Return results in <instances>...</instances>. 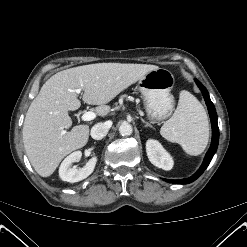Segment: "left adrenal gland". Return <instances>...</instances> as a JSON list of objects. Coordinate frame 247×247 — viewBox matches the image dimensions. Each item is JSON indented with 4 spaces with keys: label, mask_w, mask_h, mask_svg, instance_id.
Here are the masks:
<instances>
[{
    "label": "left adrenal gland",
    "mask_w": 247,
    "mask_h": 247,
    "mask_svg": "<svg viewBox=\"0 0 247 247\" xmlns=\"http://www.w3.org/2000/svg\"><path fill=\"white\" fill-rule=\"evenodd\" d=\"M141 121L145 124V125H144L145 127H150V128H152V125L149 124L148 122H146L145 120L141 119Z\"/></svg>",
    "instance_id": "1"
}]
</instances>
